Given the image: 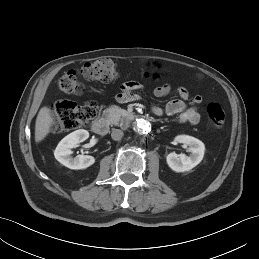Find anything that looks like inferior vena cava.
Instances as JSON below:
<instances>
[{"label":"inferior vena cava","instance_id":"inferior-vena-cava-1","mask_svg":"<svg viewBox=\"0 0 259 259\" xmlns=\"http://www.w3.org/2000/svg\"><path fill=\"white\" fill-rule=\"evenodd\" d=\"M123 135V131L120 129H113L111 133V137L115 141L121 140Z\"/></svg>","mask_w":259,"mask_h":259}]
</instances>
